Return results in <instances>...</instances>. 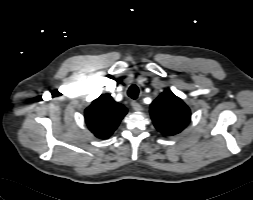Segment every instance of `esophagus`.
Segmentation results:
<instances>
[{"label":"esophagus","mask_w":253,"mask_h":200,"mask_svg":"<svg viewBox=\"0 0 253 200\" xmlns=\"http://www.w3.org/2000/svg\"><path fill=\"white\" fill-rule=\"evenodd\" d=\"M131 106L135 111H140L142 109L141 105L136 101H132Z\"/></svg>","instance_id":"obj_1"}]
</instances>
